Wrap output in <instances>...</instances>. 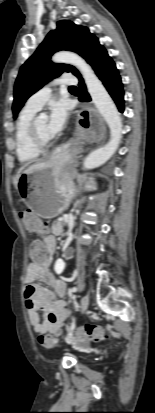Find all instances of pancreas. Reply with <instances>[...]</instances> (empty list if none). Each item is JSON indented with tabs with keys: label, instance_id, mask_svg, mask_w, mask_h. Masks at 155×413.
Segmentation results:
<instances>
[{
	"label": "pancreas",
	"instance_id": "1",
	"mask_svg": "<svg viewBox=\"0 0 155 413\" xmlns=\"http://www.w3.org/2000/svg\"><path fill=\"white\" fill-rule=\"evenodd\" d=\"M58 227H61V222L59 220L55 221L53 225V230L56 234H59V231L56 230Z\"/></svg>",
	"mask_w": 155,
	"mask_h": 413
}]
</instances>
